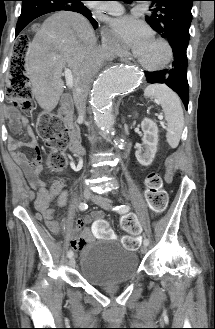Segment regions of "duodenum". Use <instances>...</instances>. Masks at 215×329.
I'll list each match as a JSON object with an SVG mask.
<instances>
[{"instance_id": "duodenum-1", "label": "duodenum", "mask_w": 215, "mask_h": 329, "mask_svg": "<svg viewBox=\"0 0 215 329\" xmlns=\"http://www.w3.org/2000/svg\"><path fill=\"white\" fill-rule=\"evenodd\" d=\"M59 116L69 129V151L76 156L82 155L84 149L81 144L79 133L73 129V102L70 95L65 94L62 96L59 107Z\"/></svg>"}]
</instances>
